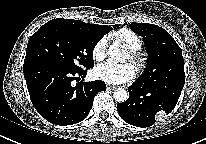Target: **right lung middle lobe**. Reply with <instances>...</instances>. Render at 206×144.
Masks as SVG:
<instances>
[{"mask_svg":"<svg viewBox=\"0 0 206 144\" xmlns=\"http://www.w3.org/2000/svg\"><path fill=\"white\" fill-rule=\"evenodd\" d=\"M101 38L72 23L53 19L30 37L24 65L47 63L70 71L92 68L93 50Z\"/></svg>","mask_w":206,"mask_h":144,"instance_id":"dd1d6c3e","label":"right lung middle lobe"}]
</instances>
